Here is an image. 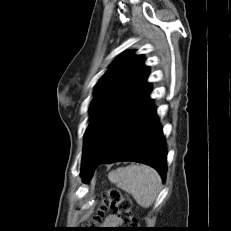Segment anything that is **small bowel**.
Returning <instances> with one entry per match:
<instances>
[{"instance_id":"obj_1","label":"small bowel","mask_w":231,"mask_h":231,"mask_svg":"<svg viewBox=\"0 0 231 231\" xmlns=\"http://www.w3.org/2000/svg\"><path fill=\"white\" fill-rule=\"evenodd\" d=\"M118 223H119L118 218L115 215H109L105 219V225L108 227L116 226Z\"/></svg>"}]
</instances>
